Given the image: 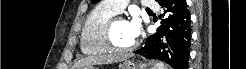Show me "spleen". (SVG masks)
I'll return each mask as SVG.
<instances>
[{"instance_id": "spleen-1", "label": "spleen", "mask_w": 246, "mask_h": 69, "mask_svg": "<svg viewBox=\"0 0 246 69\" xmlns=\"http://www.w3.org/2000/svg\"><path fill=\"white\" fill-rule=\"evenodd\" d=\"M155 67H157L156 69H166L163 63H156Z\"/></svg>"}]
</instances>
